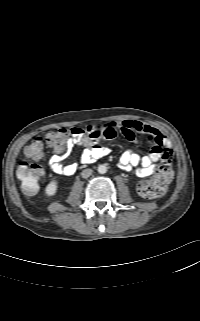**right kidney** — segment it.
Returning a JSON list of instances; mask_svg holds the SVG:
<instances>
[{
    "label": "right kidney",
    "mask_w": 200,
    "mask_h": 321,
    "mask_svg": "<svg viewBox=\"0 0 200 321\" xmlns=\"http://www.w3.org/2000/svg\"><path fill=\"white\" fill-rule=\"evenodd\" d=\"M57 184L58 182L56 180H52L45 188V194L47 196H53L57 192Z\"/></svg>",
    "instance_id": "obj_1"
}]
</instances>
